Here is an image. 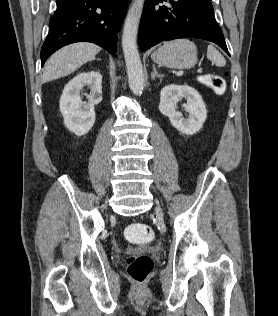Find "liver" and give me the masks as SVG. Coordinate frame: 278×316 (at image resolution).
Instances as JSON below:
<instances>
[{"mask_svg": "<svg viewBox=\"0 0 278 316\" xmlns=\"http://www.w3.org/2000/svg\"><path fill=\"white\" fill-rule=\"evenodd\" d=\"M100 50L99 46L88 42L74 43L60 49L47 61L42 82L46 83L71 74L86 62L95 59Z\"/></svg>", "mask_w": 278, "mask_h": 316, "instance_id": "1", "label": "liver"}]
</instances>
